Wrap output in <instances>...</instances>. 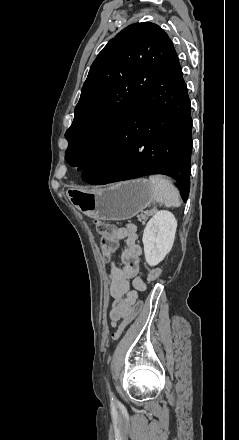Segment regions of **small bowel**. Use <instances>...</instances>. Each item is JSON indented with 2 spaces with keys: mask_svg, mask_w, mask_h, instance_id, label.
<instances>
[{
  "mask_svg": "<svg viewBox=\"0 0 239 440\" xmlns=\"http://www.w3.org/2000/svg\"><path fill=\"white\" fill-rule=\"evenodd\" d=\"M116 244L111 253L109 277L110 296L112 298L109 318L111 325L124 317L130 315L132 306L137 299V291L146 288L145 281L138 277L139 262L142 255V248L137 244V227L133 224L116 229ZM119 240H125V247L121 255V264L115 260V252L119 246Z\"/></svg>",
  "mask_w": 239,
  "mask_h": 440,
  "instance_id": "small-bowel-1",
  "label": "small bowel"
}]
</instances>
